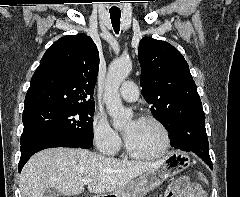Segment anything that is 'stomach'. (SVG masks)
Segmentation results:
<instances>
[{"label": "stomach", "mask_w": 240, "mask_h": 197, "mask_svg": "<svg viewBox=\"0 0 240 197\" xmlns=\"http://www.w3.org/2000/svg\"><path fill=\"white\" fill-rule=\"evenodd\" d=\"M190 165V158L182 152H171L162 163L138 178L133 179L108 197H144L148 192L158 188L165 180L173 177Z\"/></svg>", "instance_id": "stomach-1"}]
</instances>
